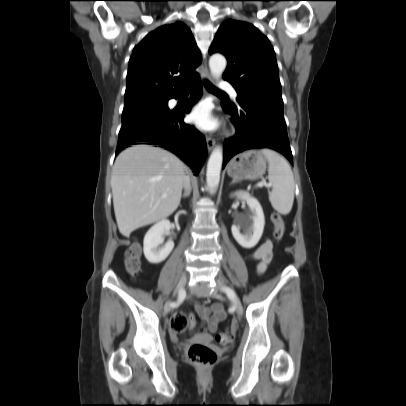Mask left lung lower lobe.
Segmentation results:
<instances>
[{
    "instance_id": "1",
    "label": "left lung lower lobe",
    "mask_w": 406,
    "mask_h": 406,
    "mask_svg": "<svg viewBox=\"0 0 406 406\" xmlns=\"http://www.w3.org/2000/svg\"><path fill=\"white\" fill-rule=\"evenodd\" d=\"M222 107L236 127V134L225 140L223 167L235 154L252 148L276 150L293 164L282 109L263 104H252L240 111Z\"/></svg>"
}]
</instances>
